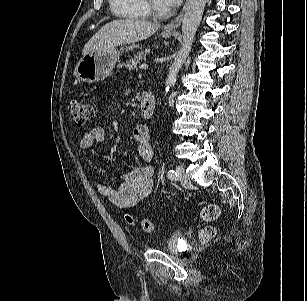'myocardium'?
I'll return each instance as SVG.
<instances>
[{
  "label": "myocardium",
  "instance_id": "obj_1",
  "mask_svg": "<svg viewBox=\"0 0 307 301\" xmlns=\"http://www.w3.org/2000/svg\"><path fill=\"white\" fill-rule=\"evenodd\" d=\"M143 4L148 12V14L154 15V16H160L163 13L154 7V5L151 3L150 0H142Z\"/></svg>",
  "mask_w": 307,
  "mask_h": 301
}]
</instances>
